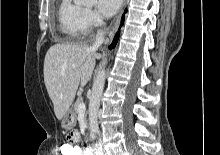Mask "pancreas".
Wrapping results in <instances>:
<instances>
[{"label":"pancreas","instance_id":"pancreas-1","mask_svg":"<svg viewBox=\"0 0 220 155\" xmlns=\"http://www.w3.org/2000/svg\"><path fill=\"white\" fill-rule=\"evenodd\" d=\"M80 103H82V98H81V97H79V98L76 100V102L74 103V105H73V108H74L75 113L78 112V106H79Z\"/></svg>","mask_w":220,"mask_h":155}]
</instances>
